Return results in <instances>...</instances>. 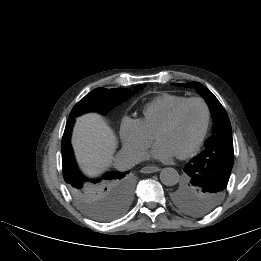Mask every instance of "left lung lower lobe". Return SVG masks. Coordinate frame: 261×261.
<instances>
[{"label": "left lung lower lobe", "instance_id": "1", "mask_svg": "<svg viewBox=\"0 0 261 261\" xmlns=\"http://www.w3.org/2000/svg\"><path fill=\"white\" fill-rule=\"evenodd\" d=\"M184 171H185V173H186L187 175H189V176H194V175H197V172H196V171H198V169L196 168L195 165L188 163V164H186V166L184 167Z\"/></svg>", "mask_w": 261, "mask_h": 261}]
</instances>
